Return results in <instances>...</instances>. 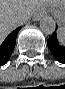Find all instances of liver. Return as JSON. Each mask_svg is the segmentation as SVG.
I'll return each instance as SVG.
<instances>
[{
  "mask_svg": "<svg viewBox=\"0 0 65 89\" xmlns=\"http://www.w3.org/2000/svg\"><path fill=\"white\" fill-rule=\"evenodd\" d=\"M63 6V0H0V39L16 28V21L31 18L42 8Z\"/></svg>",
  "mask_w": 65,
  "mask_h": 89,
  "instance_id": "6515ba94",
  "label": "liver"
}]
</instances>
